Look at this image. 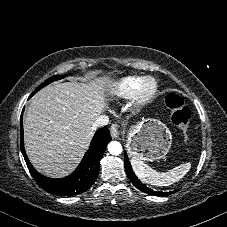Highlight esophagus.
Returning <instances> with one entry per match:
<instances>
[{
    "instance_id": "1",
    "label": "esophagus",
    "mask_w": 227,
    "mask_h": 227,
    "mask_svg": "<svg viewBox=\"0 0 227 227\" xmlns=\"http://www.w3.org/2000/svg\"><path fill=\"white\" fill-rule=\"evenodd\" d=\"M110 134L111 137L113 139H117L120 135L119 129H118V125L117 124H113L110 128Z\"/></svg>"
}]
</instances>
